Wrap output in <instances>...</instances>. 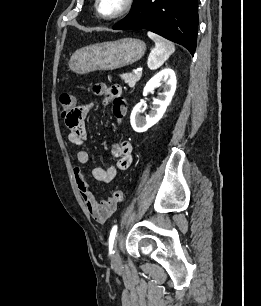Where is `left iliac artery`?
<instances>
[{
	"label": "left iliac artery",
	"instance_id": "left-iliac-artery-1",
	"mask_svg": "<svg viewBox=\"0 0 261 306\" xmlns=\"http://www.w3.org/2000/svg\"><path fill=\"white\" fill-rule=\"evenodd\" d=\"M117 234V225H114L109 236V253H113V245Z\"/></svg>",
	"mask_w": 261,
	"mask_h": 306
}]
</instances>
